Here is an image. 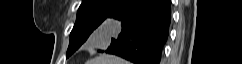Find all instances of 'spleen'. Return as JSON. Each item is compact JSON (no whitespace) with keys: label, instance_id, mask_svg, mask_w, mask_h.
Returning a JSON list of instances; mask_svg holds the SVG:
<instances>
[{"label":"spleen","instance_id":"3e777b00","mask_svg":"<svg viewBox=\"0 0 242 64\" xmlns=\"http://www.w3.org/2000/svg\"><path fill=\"white\" fill-rule=\"evenodd\" d=\"M86 64H130V62L114 55H100Z\"/></svg>","mask_w":242,"mask_h":64}]
</instances>
